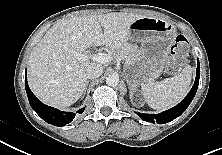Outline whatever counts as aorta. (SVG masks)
<instances>
[{
	"label": "aorta",
	"mask_w": 222,
	"mask_h": 155,
	"mask_svg": "<svg viewBox=\"0 0 222 155\" xmlns=\"http://www.w3.org/2000/svg\"><path fill=\"white\" fill-rule=\"evenodd\" d=\"M106 84L111 87H115L119 84V76L118 75H109L106 78Z\"/></svg>",
	"instance_id": "1"
}]
</instances>
